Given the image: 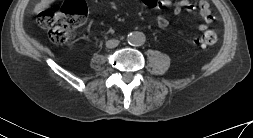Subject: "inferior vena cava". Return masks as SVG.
I'll return each mask as SVG.
<instances>
[{
    "label": "inferior vena cava",
    "mask_w": 253,
    "mask_h": 138,
    "mask_svg": "<svg viewBox=\"0 0 253 138\" xmlns=\"http://www.w3.org/2000/svg\"><path fill=\"white\" fill-rule=\"evenodd\" d=\"M119 45V40L117 39H111L106 42L107 48H115Z\"/></svg>",
    "instance_id": "1"
}]
</instances>
